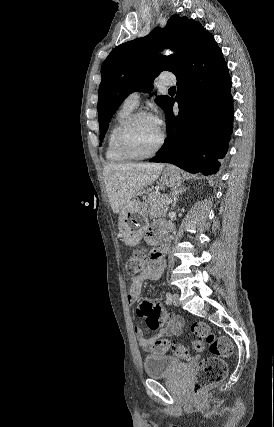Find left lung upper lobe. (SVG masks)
Instances as JSON below:
<instances>
[{"mask_svg":"<svg viewBox=\"0 0 274 427\" xmlns=\"http://www.w3.org/2000/svg\"><path fill=\"white\" fill-rule=\"evenodd\" d=\"M209 38L213 36L199 22L173 15L163 29L157 27L146 37L114 48L101 67L97 104L100 141L113 114L130 93L150 92L152 79L161 71L178 74ZM163 48H171L178 54L162 56L158 52ZM169 99V96H158L155 101L164 110Z\"/></svg>","mask_w":274,"mask_h":427,"instance_id":"left-lung-upper-lobe-1","label":"left lung upper lobe"}]
</instances>
